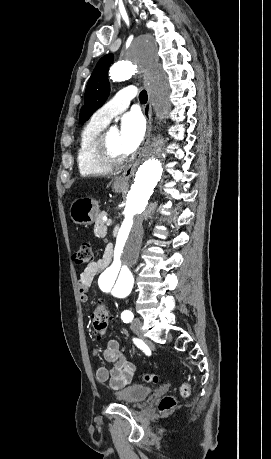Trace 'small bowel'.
Here are the masks:
<instances>
[{
  "label": "small bowel",
  "instance_id": "1",
  "mask_svg": "<svg viewBox=\"0 0 271 459\" xmlns=\"http://www.w3.org/2000/svg\"><path fill=\"white\" fill-rule=\"evenodd\" d=\"M109 264V257L105 255L97 262L89 263L78 279L79 297L82 303L88 300V292L93 279L103 271ZM94 355H98L97 349L93 350ZM103 357L110 362L114 363L112 369H107L104 366H99L96 370V378L100 382H109L110 386L114 389H119L126 386L135 371L134 365L129 362L126 356L120 351L118 342L116 340H109L107 347L103 351Z\"/></svg>",
  "mask_w": 271,
  "mask_h": 459
}]
</instances>
